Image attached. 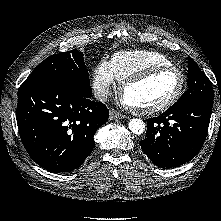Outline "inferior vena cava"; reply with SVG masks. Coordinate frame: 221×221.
Here are the masks:
<instances>
[{"instance_id": "1", "label": "inferior vena cava", "mask_w": 221, "mask_h": 221, "mask_svg": "<svg viewBox=\"0 0 221 221\" xmlns=\"http://www.w3.org/2000/svg\"><path fill=\"white\" fill-rule=\"evenodd\" d=\"M109 88L107 86H103L94 92V96L99 101H106L109 96Z\"/></svg>"}]
</instances>
